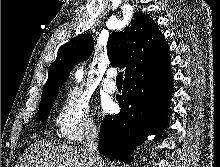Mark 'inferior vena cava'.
<instances>
[{"label":"inferior vena cava","instance_id":"obj_1","mask_svg":"<svg viewBox=\"0 0 220 167\" xmlns=\"http://www.w3.org/2000/svg\"><path fill=\"white\" fill-rule=\"evenodd\" d=\"M99 132L94 124H90L86 128L84 149L88 152L96 167H107L98 152Z\"/></svg>","mask_w":220,"mask_h":167}]
</instances>
